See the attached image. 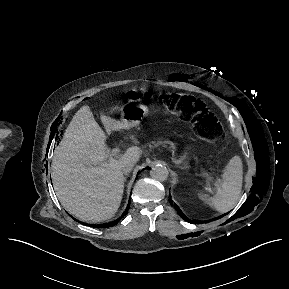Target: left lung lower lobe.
I'll list each match as a JSON object with an SVG mask.
<instances>
[{"mask_svg":"<svg viewBox=\"0 0 289 289\" xmlns=\"http://www.w3.org/2000/svg\"><path fill=\"white\" fill-rule=\"evenodd\" d=\"M169 201H170V203L173 205L172 200L169 199ZM174 207L176 208L178 214H179L184 220H186V221H188V222H193V221H191L189 218H187V217L183 214V212L180 210V208H179L176 204H174Z\"/></svg>","mask_w":289,"mask_h":289,"instance_id":"obj_1","label":"left lung lower lobe"}]
</instances>
